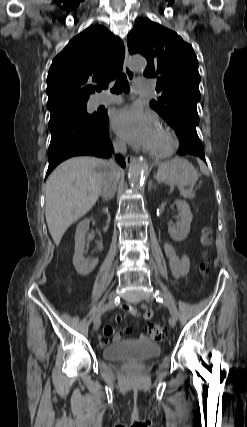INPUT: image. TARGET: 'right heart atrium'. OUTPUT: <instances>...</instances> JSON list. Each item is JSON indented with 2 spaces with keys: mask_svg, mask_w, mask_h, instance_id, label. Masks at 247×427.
<instances>
[{
  "mask_svg": "<svg viewBox=\"0 0 247 427\" xmlns=\"http://www.w3.org/2000/svg\"><path fill=\"white\" fill-rule=\"evenodd\" d=\"M114 145H115V147H116V148H118V149H121V148L123 147L122 142H121V141H119V140L114 141Z\"/></svg>",
  "mask_w": 247,
  "mask_h": 427,
  "instance_id": "right-heart-atrium-1",
  "label": "right heart atrium"
}]
</instances>
